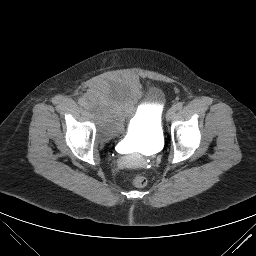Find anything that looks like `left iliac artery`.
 Listing matches in <instances>:
<instances>
[{
  "instance_id": "1",
  "label": "left iliac artery",
  "mask_w": 256,
  "mask_h": 256,
  "mask_svg": "<svg viewBox=\"0 0 256 256\" xmlns=\"http://www.w3.org/2000/svg\"><path fill=\"white\" fill-rule=\"evenodd\" d=\"M182 107H183V104L181 102H178L177 104L174 105V108L176 110H180V109H182Z\"/></svg>"
}]
</instances>
